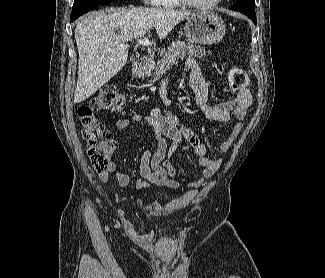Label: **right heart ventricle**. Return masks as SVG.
Listing matches in <instances>:
<instances>
[{
    "mask_svg": "<svg viewBox=\"0 0 325 278\" xmlns=\"http://www.w3.org/2000/svg\"><path fill=\"white\" fill-rule=\"evenodd\" d=\"M158 5H161L163 7L173 8V7H178L180 5V2L178 0H160Z\"/></svg>",
    "mask_w": 325,
    "mask_h": 278,
    "instance_id": "1",
    "label": "right heart ventricle"
}]
</instances>
